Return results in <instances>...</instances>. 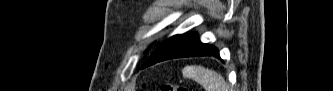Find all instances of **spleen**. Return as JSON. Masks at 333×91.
<instances>
[{"label": "spleen", "instance_id": "1", "mask_svg": "<svg viewBox=\"0 0 333 91\" xmlns=\"http://www.w3.org/2000/svg\"><path fill=\"white\" fill-rule=\"evenodd\" d=\"M185 78L199 83L205 91H228L229 86L224 78L217 72L202 66H186L182 70Z\"/></svg>", "mask_w": 333, "mask_h": 91}]
</instances>
